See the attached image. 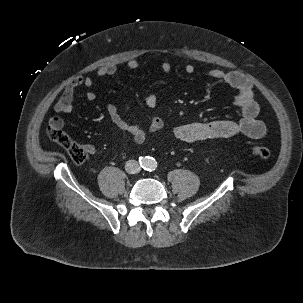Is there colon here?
I'll use <instances>...</instances> for the list:
<instances>
[{"label":"colon","mask_w":303,"mask_h":303,"mask_svg":"<svg viewBox=\"0 0 303 303\" xmlns=\"http://www.w3.org/2000/svg\"><path fill=\"white\" fill-rule=\"evenodd\" d=\"M47 135L50 140L67 152L74 163L81 164L86 160V149L76 143L61 127L50 125L47 130ZM251 153L260 159H267L271 154L269 148L260 145L251 147Z\"/></svg>","instance_id":"5ec220e1"}]
</instances>
